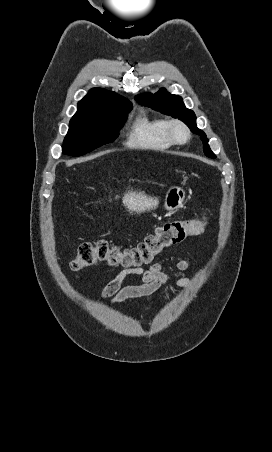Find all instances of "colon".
<instances>
[{"label": "colon", "instance_id": "5ec220e1", "mask_svg": "<svg viewBox=\"0 0 272 452\" xmlns=\"http://www.w3.org/2000/svg\"><path fill=\"white\" fill-rule=\"evenodd\" d=\"M206 218L201 220H169L157 225L154 231L134 246L123 247L107 240L85 242L78 247L70 267L80 271L96 265L133 268L151 264L166 248L197 235L206 228Z\"/></svg>", "mask_w": 272, "mask_h": 452}]
</instances>
